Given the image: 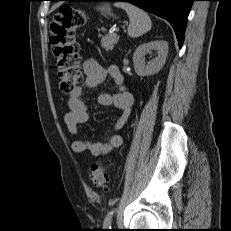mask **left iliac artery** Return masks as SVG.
I'll list each match as a JSON object with an SVG mask.
<instances>
[{"mask_svg":"<svg viewBox=\"0 0 231 231\" xmlns=\"http://www.w3.org/2000/svg\"><path fill=\"white\" fill-rule=\"evenodd\" d=\"M115 210H111L105 217L104 219V228L106 229H111V221H112V217H113V214H114Z\"/></svg>","mask_w":231,"mask_h":231,"instance_id":"left-iliac-artery-1","label":"left iliac artery"}]
</instances>
